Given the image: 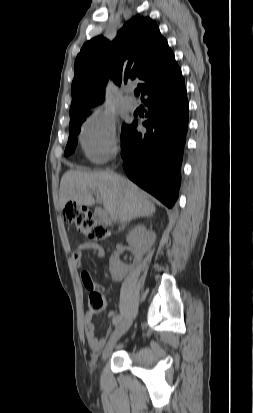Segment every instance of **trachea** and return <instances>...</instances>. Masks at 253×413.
Returning a JSON list of instances; mask_svg holds the SVG:
<instances>
[{
	"mask_svg": "<svg viewBox=\"0 0 253 413\" xmlns=\"http://www.w3.org/2000/svg\"><path fill=\"white\" fill-rule=\"evenodd\" d=\"M134 94H135L136 96H139L140 90L136 89V90L134 91Z\"/></svg>",
	"mask_w": 253,
	"mask_h": 413,
	"instance_id": "1",
	"label": "trachea"
}]
</instances>
